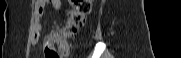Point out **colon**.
<instances>
[{
  "mask_svg": "<svg viewBox=\"0 0 181 58\" xmlns=\"http://www.w3.org/2000/svg\"><path fill=\"white\" fill-rule=\"evenodd\" d=\"M71 10L69 12L68 22L61 34L64 36H72L84 25L87 14L91 10L90 0H70ZM55 44H62L60 35L57 33L55 37L46 39L45 56L46 58H66L65 52H59L55 49Z\"/></svg>",
  "mask_w": 181,
  "mask_h": 58,
  "instance_id": "5ec220e1",
  "label": "colon"
}]
</instances>
